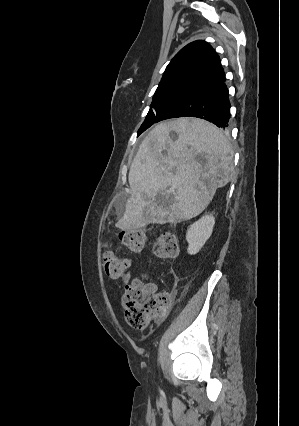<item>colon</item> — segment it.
I'll return each instance as SVG.
<instances>
[{
  "label": "colon",
  "mask_w": 299,
  "mask_h": 426,
  "mask_svg": "<svg viewBox=\"0 0 299 426\" xmlns=\"http://www.w3.org/2000/svg\"><path fill=\"white\" fill-rule=\"evenodd\" d=\"M119 239L121 244L130 251L139 252L145 246L146 231L141 228L125 230L120 233ZM153 250L159 258L176 256L178 252L176 237L168 232L160 234ZM102 260L106 274L113 278L123 276L129 267L127 258L110 250L103 253ZM170 301L168 294L154 293L151 286L145 285L139 280L126 285L122 295L126 321L136 329H143L147 327L152 318L164 315L170 306Z\"/></svg>",
  "instance_id": "5ec220e1"
}]
</instances>
